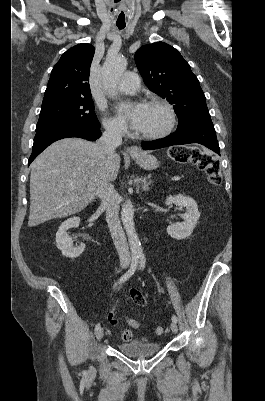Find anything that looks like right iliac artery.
<instances>
[{"label": "right iliac artery", "instance_id": "right-iliac-artery-1", "mask_svg": "<svg viewBox=\"0 0 265 401\" xmlns=\"http://www.w3.org/2000/svg\"><path fill=\"white\" fill-rule=\"evenodd\" d=\"M137 266H138V257L133 256L130 268L128 269V271L125 274H123L120 277V279L118 280L117 284L123 283L126 280H128L134 274V272L136 271ZM100 327H101L100 323H97L96 326H95V331H98L100 329ZM83 374H85V371H83Z\"/></svg>", "mask_w": 265, "mask_h": 401}]
</instances>
